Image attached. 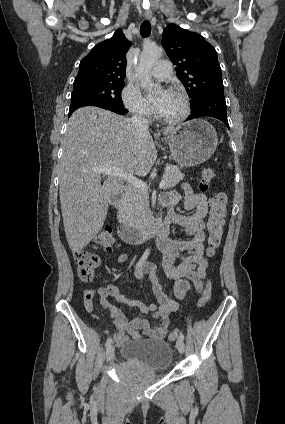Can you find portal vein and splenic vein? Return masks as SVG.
Returning <instances> with one entry per match:
<instances>
[{
  "instance_id": "1",
  "label": "portal vein and splenic vein",
  "mask_w": 285,
  "mask_h": 424,
  "mask_svg": "<svg viewBox=\"0 0 285 424\" xmlns=\"http://www.w3.org/2000/svg\"><path fill=\"white\" fill-rule=\"evenodd\" d=\"M95 172H98L100 174L103 175H110V176H115V177H119L121 179L126 180L128 183H130L131 185H133L136 189H139L141 191L147 192L148 191V187L147 184L136 178L135 176H133L132 174H129L127 172H125L123 169L113 166V165H104L101 167H96L94 168ZM165 186V179H163L160 184H159V188H164Z\"/></svg>"
}]
</instances>
